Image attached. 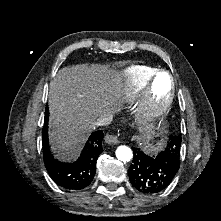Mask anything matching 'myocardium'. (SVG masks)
Wrapping results in <instances>:
<instances>
[{"label":"myocardium","mask_w":221,"mask_h":221,"mask_svg":"<svg viewBox=\"0 0 221 221\" xmlns=\"http://www.w3.org/2000/svg\"><path fill=\"white\" fill-rule=\"evenodd\" d=\"M161 74H166L170 81L169 95L162 103H157L153 98V87L157 77ZM175 95V83L172 74L166 70L156 72L143 96L142 103L137 112V117L142 123H151L161 118L170 108Z\"/></svg>","instance_id":"obj_1"}]
</instances>
